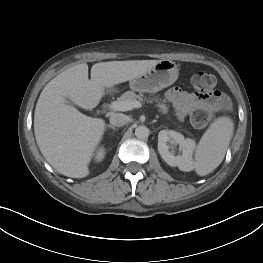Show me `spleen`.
I'll return each mask as SVG.
<instances>
[{
    "mask_svg": "<svg viewBox=\"0 0 263 263\" xmlns=\"http://www.w3.org/2000/svg\"><path fill=\"white\" fill-rule=\"evenodd\" d=\"M233 134V122L229 117H219L201 137L196 152L194 168L199 176H205L222 162Z\"/></svg>",
    "mask_w": 263,
    "mask_h": 263,
    "instance_id": "1",
    "label": "spleen"
}]
</instances>
